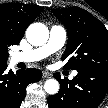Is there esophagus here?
<instances>
[{
  "label": "esophagus",
  "mask_w": 108,
  "mask_h": 108,
  "mask_svg": "<svg viewBox=\"0 0 108 108\" xmlns=\"http://www.w3.org/2000/svg\"><path fill=\"white\" fill-rule=\"evenodd\" d=\"M52 76L49 72H43V78H50Z\"/></svg>",
  "instance_id": "34e87169"
}]
</instances>
